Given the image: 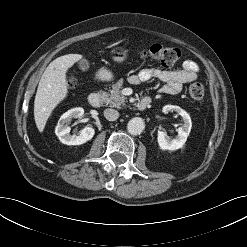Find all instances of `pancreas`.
Wrapping results in <instances>:
<instances>
[{"label":"pancreas","instance_id":"1","mask_svg":"<svg viewBox=\"0 0 247 247\" xmlns=\"http://www.w3.org/2000/svg\"><path fill=\"white\" fill-rule=\"evenodd\" d=\"M122 82H117L113 85L110 93L101 92V97L103 101L110 107L121 108L125 107L127 98L121 93Z\"/></svg>","mask_w":247,"mask_h":247}]
</instances>
